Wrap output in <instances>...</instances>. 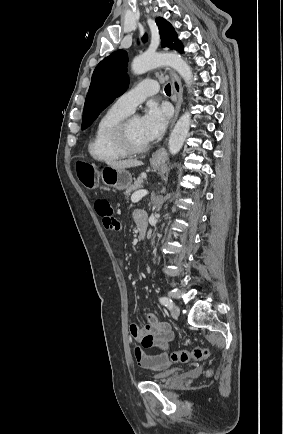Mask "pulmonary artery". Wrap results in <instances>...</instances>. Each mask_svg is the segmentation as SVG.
<instances>
[{
	"label": "pulmonary artery",
	"mask_w": 283,
	"mask_h": 434,
	"mask_svg": "<svg viewBox=\"0 0 283 434\" xmlns=\"http://www.w3.org/2000/svg\"><path fill=\"white\" fill-rule=\"evenodd\" d=\"M158 89V83L155 80H143L134 88L121 95L114 105L127 112H132L147 97L156 94Z\"/></svg>",
	"instance_id": "e3ab8cb5"
}]
</instances>
